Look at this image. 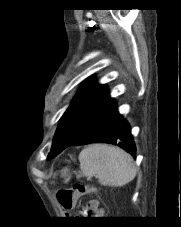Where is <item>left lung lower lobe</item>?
Segmentation results:
<instances>
[{
  "label": "left lung lower lobe",
  "mask_w": 181,
  "mask_h": 227,
  "mask_svg": "<svg viewBox=\"0 0 181 227\" xmlns=\"http://www.w3.org/2000/svg\"><path fill=\"white\" fill-rule=\"evenodd\" d=\"M130 130L129 124L118 114L114 100L108 98L93 113L80 134L66 147L110 143L118 145L135 157L136 147Z\"/></svg>",
  "instance_id": "obj_1"
}]
</instances>
